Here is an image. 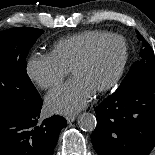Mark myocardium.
<instances>
[{"instance_id": "1", "label": "myocardium", "mask_w": 155, "mask_h": 155, "mask_svg": "<svg viewBox=\"0 0 155 155\" xmlns=\"http://www.w3.org/2000/svg\"><path fill=\"white\" fill-rule=\"evenodd\" d=\"M110 40H119L122 42L123 44V48H124V54H123V59L122 62L115 74V76L111 79V81H109L106 85L102 86L101 88H99L94 94H102L105 93L109 90H111L112 88H114L119 81L121 80L128 60H129V45L128 42L126 40L125 37H123L120 34L117 33H109L106 36L100 38L99 40H97L88 50L87 52L72 66L71 70H70V74L73 75L77 70L83 68L84 66H86L94 57V55L96 54V52L98 51V49L107 41Z\"/></svg>"}]
</instances>
